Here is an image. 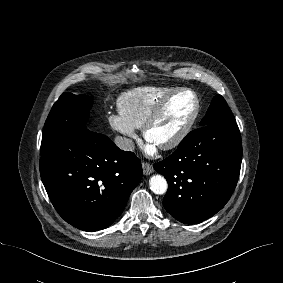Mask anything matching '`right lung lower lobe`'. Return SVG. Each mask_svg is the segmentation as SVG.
Listing matches in <instances>:
<instances>
[{
  "instance_id": "98d812e1",
  "label": "right lung lower lobe",
  "mask_w": 283,
  "mask_h": 283,
  "mask_svg": "<svg viewBox=\"0 0 283 283\" xmlns=\"http://www.w3.org/2000/svg\"><path fill=\"white\" fill-rule=\"evenodd\" d=\"M39 167L56 211L84 231L110 226L143 174L134 153L122 151L107 136L86 126L52 154L41 157Z\"/></svg>"
}]
</instances>
